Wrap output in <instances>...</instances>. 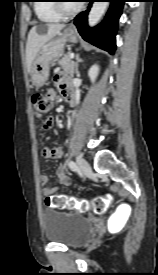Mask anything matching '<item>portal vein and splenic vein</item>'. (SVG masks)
<instances>
[{
	"label": "portal vein and splenic vein",
	"instance_id": "1",
	"mask_svg": "<svg viewBox=\"0 0 158 275\" xmlns=\"http://www.w3.org/2000/svg\"><path fill=\"white\" fill-rule=\"evenodd\" d=\"M70 57H71V59H73L74 58V53H71Z\"/></svg>",
	"mask_w": 158,
	"mask_h": 275
}]
</instances>
